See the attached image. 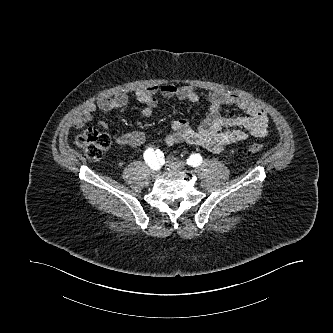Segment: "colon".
Instances as JSON below:
<instances>
[{
	"mask_svg": "<svg viewBox=\"0 0 333 333\" xmlns=\"http://www.w3.org/2000/svg\"><path fill=\"white\" fill-rule=\"evenodd\" d=\"M77 144L83 149L89 160L97 161L102 158L111 146L110 136L95 127L88 128L83 134L77 137ZM264 150L263 145L252 143L243 148L245 155H257Z\"/></svg>",
	"mask_w": 333,
	"mask_h": 333,
	"instance_id": "5ec220e1",
	"label": "colon"
}]
</instances>
